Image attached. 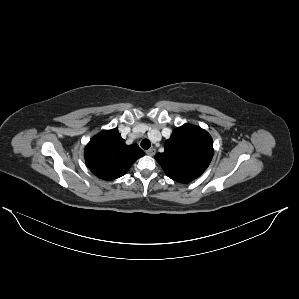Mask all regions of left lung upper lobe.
I'll list each match as a JSON object with an SVG mask.
<instances>
[{
  "mask_svg": "<svg viewBox=\"0 0 299 299\" xmlns=\"http://www.w3.org/2000/svg\"><path fill=\"white\" fill-rule=\"evenodd\" d=\"M165 151L155 159L171 179L189 183L202 175L213 157V140L204 129L184 124L173 130Z\"/></svg>",
  "mask_w": 299,
  "mask_h": 299,
  "instance_id": "5c2ea615",
  "label": "left lung upper lobe"
}]
</instances>
